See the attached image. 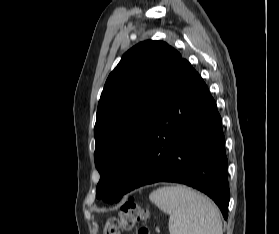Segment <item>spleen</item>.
I'll list each match as a JSON object with an SVG mask.
<instances>
[{
  "mask_svg": "<svg viewBox=\"0 0 279 234\" xmlns=\"http://www.w3.org/2000/svg\"><path fill=\"white\" fill-rule=\"evenodd\" d=\"M150 200L169 214L170 234H223L216 205L203 194L183 185L161 187Z\"/></svg>",
  "mask_w": 279,
  "mask_h": 234,
  "instance_id": "spleen-1",
  "label": "spleen"
}]
</instances>
